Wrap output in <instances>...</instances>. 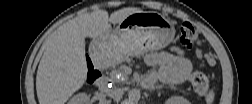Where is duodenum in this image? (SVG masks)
Returning a JSON list of instances; mask_svg holds the SVG:
<instances>
[{
  "mask_svg": "<svg viewBox=\"0 0 252 104\" xmlns=\"http://www.w3.org/2000/svg\"><path fill=\"white\" fill-rule=\"evenodd\" d=\"M109 80L106 76H100V78L96 81V87L102 92L107 91V85Z\"/></svg>",
  "mask_w": 252,
  "mask_h": 104,
  "instance_id": "410a0bca",
  "label": "duodenum"
}]
</instances>
